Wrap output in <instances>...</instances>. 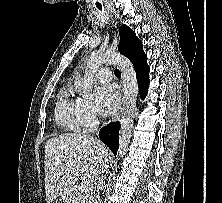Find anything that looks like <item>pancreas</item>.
<instances>
[{"label": "pancreas", "mask_w": 222, "mask_h": 203, "mask_svg": "<svg viewBox=\"0 0 222 203\" xmlns=\"http://www.w3.org/2000/svg\"><path fill=\"white\" fill-rule=\"evenodd\" d=\"M77 202L75 203H93L95 200V193L93 191L86 192L82 186L76 190Z\"/></svg>", "instance_id": "obj_1"}]
</instances>
